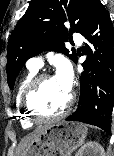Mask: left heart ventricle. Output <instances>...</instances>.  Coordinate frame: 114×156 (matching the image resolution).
Returning <instances> with one entry per match:
<instances>
[{
    "instance_id": "left-heart-ventricle-1",
    "label": "left heart ventricle",
    "mask_w": 114,
    "mask_h": 156,
    "mask_svg": "<svg viewBox=\"0 0 114 156\" xmlns=\"http://www.w3.org/2000/svg\"><path fill=\"white\" fill-rule=\"evenodd\" d=\"M69 93L64 91L55 77L45 80L32 98L33 107L41 114L54 115L66 105Z\"/></svg>"
}]
</instances>
